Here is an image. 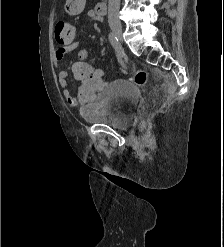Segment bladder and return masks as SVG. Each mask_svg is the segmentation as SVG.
Here are the masks:
<instances>
[{
    "instance_id": "1",
    "label": "bladder",
    "mask_w": 224,
    "mask_h": 247,
    "mask_svg": "<svg viewBox=\"0 0 224 247\" xmlns=\"http://www.w3.org/2000/svg\"><path fill=\"white\" fill-rule=\"evenodd\" d=\"M138 100V93L132 82L116 79L82 104L79 114L88 123L125 130L134 122Z\"/></svg>"
}]
</instances>
